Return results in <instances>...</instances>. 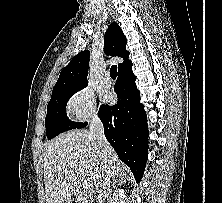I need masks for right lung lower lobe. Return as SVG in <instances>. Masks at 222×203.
<instances>
[{
  "label": "right lung lower lobe",
  "instance_id": "obj_1",
  "mask_svg": "<svg viewBox=\"0 0 222 203\" xmlns=\"http://www.w3.org/2000/svg\"><path fill=\"white\" fill-rule=\"evenodd\" d=\"M131 67L118 71L114 88L118 103L113 106L101 105L98 116L108 142L120 160L130 167L136 181L140 182L148 158V127ZM86 125L87 122L79 123L76 128Z\"/></svg>",
  "mask_w": 222,
  "mask_h": 203
}]
</instances>
